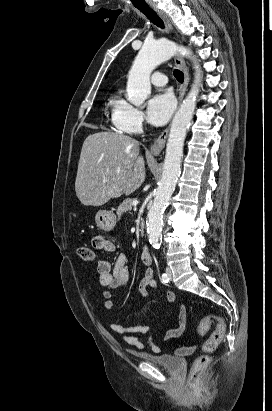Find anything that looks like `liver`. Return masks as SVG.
<instances>
[{
    "mask_svg": "<svg viewBox=\"0 0 272 411\" xmlns=\"http://www.w3.org/2000/svg\"><path fill=\"white\" fill-rule=\"evenodd\" d=\"M139 142L114 132L89 135L82 146L75 191L85 206H102L111 198L136 191L145 180ZM106 179V182L103 180Z\"/></svg>",
    "mask_w": 272,
    "mask_h": 411,
    "instance_id": "6515ba94",
    "label": "liver"
}]
</instances>
